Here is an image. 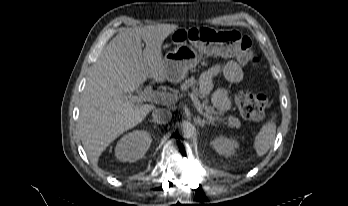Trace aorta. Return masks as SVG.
<instances>
[{"mask_svg": "<svg viewBox=\"0 0 348 206\" xmlns=\"http://www.w3.org/2000/svg\"><path fill=\"white\" fill-rule=\"evenodd\" d=\"M179 132L184 138H190L194 134V126L189 121L180 123Z\"/></svg>", "mask_w": 348, "mask_h": 206, "instance_id": "1", "label": "aorta"}]
</instances>
